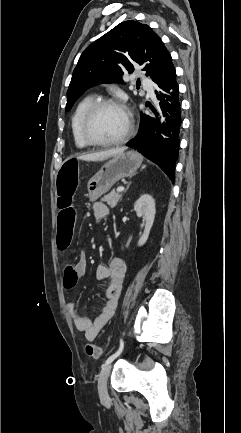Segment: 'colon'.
<instances>
[{"mask_svg":"<svg viewBox=\"0 0 241 433\" xmlns=\"http://www.w3.org/2000/svg\"><path fill=\"white\" fill-rule=\"evenodd\" d=\"M60 164L62 168H58L55 183L57 208L59 209V217L56 218V225L59 230L57 246L60 250L67 251L75 233L76 224L74 221L77 220L80 213L79 207H72L74 195L76 194L77 177L80 174L78 170L80 158L63 157ZM76 279V271L66 265V286L72 287ZM85 353L92 359H99L102 355V348L94 344H87Z\"/></svg>","mask_w":241,"mask_h":433,"instance_id":"colon-1","label":"colon"}]
</instances>
